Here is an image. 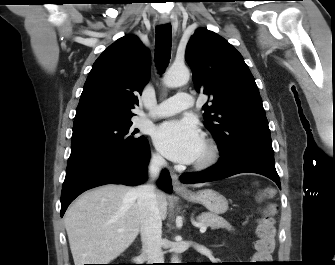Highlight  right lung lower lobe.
<instances>
[{
	"label": "right lung lower lobe",
	"mask_w": 335,
	"mask_h": 265,
	"mask_svg": "<svg viewBox=\"0 0 335 265\" xmlns=\"http://www.w3.org/2000/svg\"><path fill=\"white\" fill-rule=\"evenodd\" d=\"M150 159L148 141L130 154L88 153L68 160L61 193V217L69 204L84 191L104 184L138 185L146 180ZM158 185L172 191L170 174L163 170Z\"/></svg>",
	"instance_id": "98d812e1"
}]
</instances>
